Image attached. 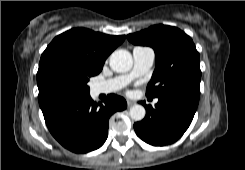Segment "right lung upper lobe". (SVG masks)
I'll return each mask as SVG.
<instances>
[{"label": "right lung upper lobe", "instance_id": "cb5924a9", "mask_svg": "<svg viewBox=\"0 0 245 170\" xmlns=\"http://www.w3.org/2000/svg\"><path fill=\"white\" fill-rule=\"evenodd\" d=\"M124 39L125 36H111L85 28L66 31L56 36L43 52L37 78L52 65H63L97 75L106 58ZM41 109L42 112L50 110Z\"/></svg>", "mask_w": 245, "mask_h": 170}]
</instances>
